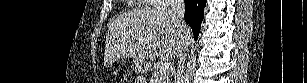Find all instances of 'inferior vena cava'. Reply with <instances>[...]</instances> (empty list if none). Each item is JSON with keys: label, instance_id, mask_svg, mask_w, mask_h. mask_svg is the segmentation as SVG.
Segmentation results:
<instances>
[{"label": "inferior vena cava", "instance_id": "inferior-vena-cava-1", "mask_svg": "<svg viewBox=\"0 0 307 83\" xmlns=\"http://www.w3.org/2000/svg\"><path fill=\"white\" fill-rule=\"evenodd\" d=\"M171 12L173 17L176 19L179 27V32L181 37H183L184 28L186 24L184 22V13H185V4L184 0H170ZM184 48L182 47L178 54V67H177V76L176 83H182L183 71L185 68V54Z\"/></svg>", "mask_w": 307, "mask_h": 83}]
</instances>
